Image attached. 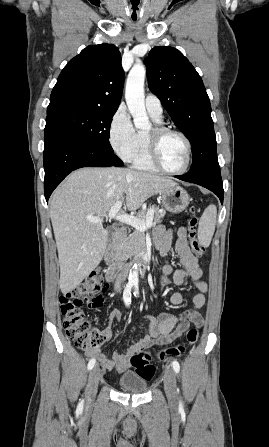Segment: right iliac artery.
<instances>
[{"mask_svg": "<svg viewBox=\"0 0 269 447\" xmlns=\"http://www.w3.org/2000/svg\"><path fill=\"white\" fill-rule=\"evenodd\" d=\"M131 288H132V285L128 284L126 286L125 290H124V293H123V299H124V302H125L126 306H129L131 304ZM95 362H96L95 359H91L89 361V363H88V370H91L94 367ZM79 407L82 409L83 402H81L79 404Z\"/></svg>", "mask_w": 269, "mask_h": 447, "instance_id": "right-iliac-artery-1", "label": "right iliac artery"}]
</instances>
